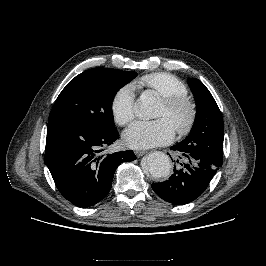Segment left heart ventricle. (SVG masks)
Masks as SVG:
<instances>
[{"instance_id":"obj_1","label":"left heart ventricle","mask_w":266,"mask_h":266,"mask_svg":"<svg viewBox=\"0 0 266 266\" xmlns=\"http://www.w3.org/2000/svg\"><path fill=\"white\" fill-rule=\"evenodd\" d=\"M185 114H186L185 110H182L178 113H172L167 109L165 104L161 102L157 110L156 117L166 118L173 125V127H175V125L185 117Z\"/></svg>"}]
</instances>
